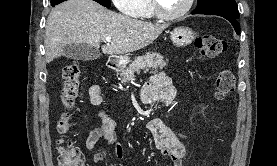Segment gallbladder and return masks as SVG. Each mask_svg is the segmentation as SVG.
Returning <instances> with one entry per match:
<instances>
[{"instance_id": "bac80fb5", "label": "gallbladder", "mask_w": 277, "mask_h": 166, "mask_svg": "<svg viewBox=\"0 0 277 166\" xmlns=\"http://www.w3.org/2000/svg\"><path fill=\"white\" fill-rule=\"evenodd\" d=\"M63 52L67 58L82 61H91L100 57L99 51L88 44H68Z\"/></svg>"}]
</instances>
